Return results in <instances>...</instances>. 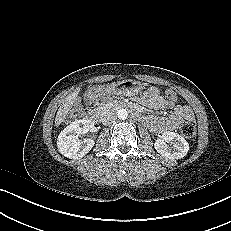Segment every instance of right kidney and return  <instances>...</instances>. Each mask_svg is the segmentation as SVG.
<instances>
[{"label":"right kidney","instance_id":"1","mask_svg":"<svg viewBox=\"0 0 231 231\" xmlns=\"http://www.w3.org/2000/svg\"><path fill=\"white\" fill-rule=\"evenodd\" d=\"M94 123L88 119H81L72 122L61 131L57 139L58 151L65 157L78 159L85 156L94 146L93 139L80 140L79 135L90 131Z\"/></svg>","mask_w":231,"mask_h":231}]
</instances>
